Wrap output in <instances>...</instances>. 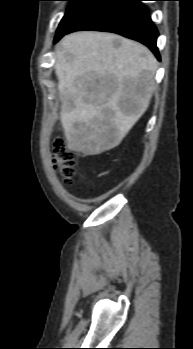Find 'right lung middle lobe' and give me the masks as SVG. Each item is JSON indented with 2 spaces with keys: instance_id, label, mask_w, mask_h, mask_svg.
Segmentation results:
<instances>
[{
  "instance_id": "dd1d6c3e",
  "label": "right lung middle lobe",
  "mask_w": 193,
  "mask_h": 349,
  "mask_svg": "<svg viewBox=\"0 0 193 349\" xmlns=\"http://www.w3.org/2000/svg\"><path fill=\"white\" fill-rule=\"evenodd\" d=\"M70 5L61 20L56 36L63 34L66 30L72 27L78 20L86 15L95 6L103 0H67Z\"/></svg>"
}]
</instances>
